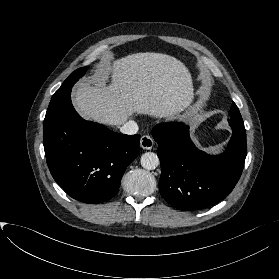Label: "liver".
<instances>
[{
    "label": "liver",
    "mask_w": 279,
    "mask_h": 279,
    "mask_svg": "<svg viewBox=\"0 0 279 279\" xmlns=\"http://www.w3.org/2000/svg\"><path fill=\"white\" fill-rule=\"evenodd\" d=\"M193 98L191 73L181 61L146 52L105 59L78 85L73 103L84 119L120 126L133 114L172 119Z\"/></svg>",
    "instance_id": "1"
}]
</instances>
